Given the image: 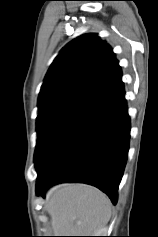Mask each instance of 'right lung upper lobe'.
Here are the masks:
<instances>
[{
    "mask_svg": "<svg viewBox=\"0 0 158 237\" xmlns=\"http://www.w3.org/2000/svg\"><path fill=\"white\" fill-rule=\"evenodd\" d=\"M115 54L97 34L68 43L50 66L38 103L70 98L85 103L121 78Z\"/></svg>",
    "mask_w": 158,
    "mask_h": 237,
    "instance_id": "obj_1",
    "label": "right lung upper lobe"
}]
</instances>
